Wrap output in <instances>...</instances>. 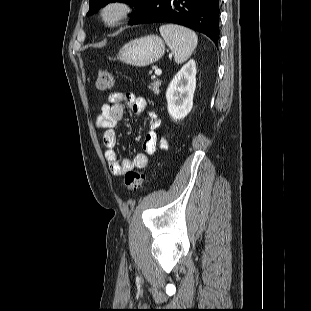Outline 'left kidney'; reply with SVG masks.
<instances>
[{"label": "left kidney", "mask_w": 311, "mask_h": 311, "mask_svg": "<svg viewBox=\"0 0 311 311\" xmlns=\"http://www.w3.org/2000/svg\"><path fill=\"white\" fill-rule=\"evenodd\" d=\"M196 88V64L189 60L173 77L167 91V109L175 120L184 119L193 107V96Z\"/></svg>", "instance_id": "obj_1"}]
</instances>
